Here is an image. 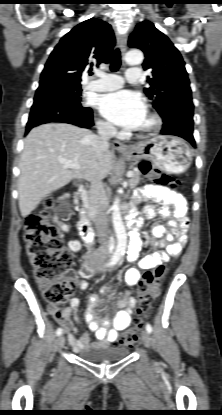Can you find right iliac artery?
<instances>
[{
  "mask_svg": "<svg viewBox=\"0 0 222 415\" xmlns=\"http://www.w3.org/2000/svg\"><path fill=\"white\" fill-rule=\"evenodd\" d=\"M62 332H63L62 328H58L56 331L57 336H60Z\"/></svg>",
  "mask_w": 222,
  "mask_h": 415,
  "instance_id": "1",
  "label": "right iliac artery"
}]
</instances>
